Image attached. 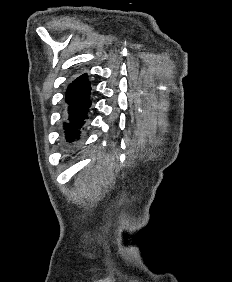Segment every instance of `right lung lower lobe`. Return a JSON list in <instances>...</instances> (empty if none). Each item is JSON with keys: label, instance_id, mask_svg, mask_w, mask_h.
Masks as SVG:
<instances>
[{"label": "right lung lower lobe", "instance_id": "right-lung-lower-lobe-1", "mask_svg": "<svg viewBox=\"0 0 232 282\" xmlns=\"http://www.w3.org/2000/svg\"><path fill=\"white\" fill-rule=\"evenodd\" d=\"M90 91L91 86L86 73L80 75L68 85L65 95V101L68 105L67 117L63 124L67 142H73L80 138L91 106Z\"/></svg>", "mask_w": 232, "mask_h": 282}]
</instances>
